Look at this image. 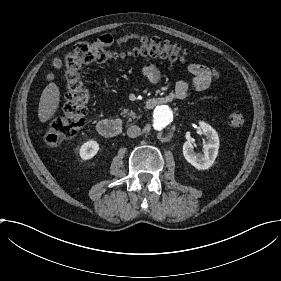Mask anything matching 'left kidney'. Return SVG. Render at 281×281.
Here are the masks:
<instances>
[{"instance_id":"left-kidney-1","label":"left kidney","mask_w":281,"mask_h":281,"mask_svg":"<svg viewBox=\"0 0 281 281\" xmlns=\"http://www.w3.org/2000/svg\"><path fill=\"white\" fill-rule=\"evenodd\" d=\"M202 133L207 138V143L204 144V154L202 156L194 153L193 144L191 141H186L183 144V156L185 160L198 170H207L212 166L214 160L218 154L219 138L216 131L201 123Z\"/></svg>"}]
</instances>
